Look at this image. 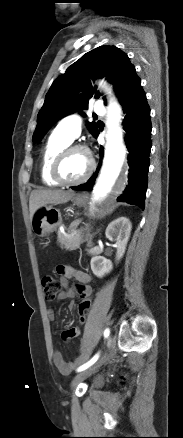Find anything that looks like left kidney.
Returning a JSON list of instances; mask_svg holds the SVG:
<instances>
[{
    "mask_svg": "<svg viewBox=\"0 0 183 438\" xmlns=\"http://www.w3.org/2000/svg\"><path fill=\"white\" fill-rule=\"evenodd\" d=\"M132 224L126 217H119L113 220L106 228L105 235L111 241H115L116 261H119L126 250V246L130 237ZM91 270L94 275L102 278L110 273L113 269V264L110 260L102 256H94L90 262Z\"/></svg>",
    "mask_w": 183,
    "mask_h": 438,
    "instance_id": "obj_1",
    "label": "left kidney"
}]
</instances>
